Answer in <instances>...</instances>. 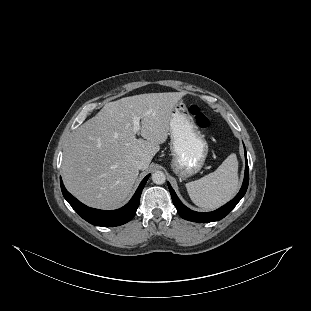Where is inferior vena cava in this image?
Wrapping results in <instances>:
<instances>
[{
	"label": "inferior vena cava",
	"mask_w": 311,
	"mask_h": 311,
	"mask_svg": "<svg viewBox=\"0 0 311 311\" xmlns=\"http://www.w3.org/2000/svg\"><path fill=\"white\" fill-rule=\"evenodd\" d=\"M133 166H135L138 169H142L144 167V161L140 158L133 161Z\"/></svg>",
	"instance_id": "602c4592"
}]
</instances>
